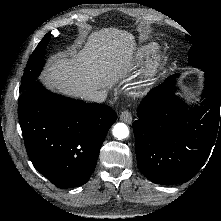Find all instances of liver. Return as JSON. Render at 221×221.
Masks as SVG:
<instances>
[{"label":"liver","instance_id":"liver-1","mask_svg":"<svg viewBox=\"0 0 221 221\" xmlns=\"http://www.w3.org/2000/svg\"><path fill=\"white\" fill-rule=\"evenodd\" d=\"M135 46L127 31H95L79 52L52 57L41 79L52 90L80 98L88 91L110 89L120 77L128 76Z\"/></svg>","mask_w":221,"mask_h":221}]
</instances>
